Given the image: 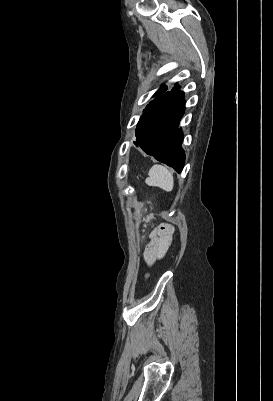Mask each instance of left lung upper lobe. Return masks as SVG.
Wrapping results in <instances>:
<instances>
[{
    "mask_svg": "<svg viewBox=\"0 0 273 401\" xmlns=\"http://www.w3.org/2000/svg\"><path fill=\"white\" fill-rule=\"evenodd\" d=\"M167 89H168V87L165 86V85H163V86L154 94V96H157V95H159V94L164 93Z\"/></svg>",
    "mask_w": 273,
    "mask_h": 401,
    "instance_id": "obj_1",
    "label": "left lung upper lobe"
}]
</instances>
